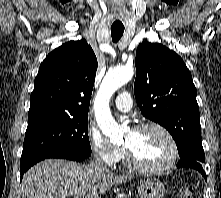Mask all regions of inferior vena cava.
<instances>
[{"instance_id": "602c4592", "label": "inferior vena cava", "mask_w": 221, "mask_h": 198, "mask_svg": "<svg viewBox=\"0 0 221 198\" xmlns=\"http://www.w3.org/2000/svg\"><path fill=\"white\" fill-rule=\"evenodd\" d=\"M90 166L94 169L102 171L107 170L106 166L103 164L102 160L99 157H96V159L90 164Z\"/></svg>"}]
</instances>
